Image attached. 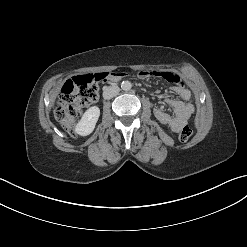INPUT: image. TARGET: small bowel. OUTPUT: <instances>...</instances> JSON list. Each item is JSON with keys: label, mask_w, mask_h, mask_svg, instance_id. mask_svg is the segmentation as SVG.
<instances>
[{"label": "small bowel", "mask_w": 247, "mask_h": 247, "mask_svg": "<svg viewBox=\"0 0 247 247\" xmlns=\"http://www.w3.org/2000/svg\"><path fill=\"white\" fill-rule=\"evenodd\" d=\"M141 78L159 77L173 84V91L181 97V100L167 99V103L173 107L174 116H171L160 108L154 109V115L158 121L168 125L172 131L179 132L188 122L193 111L194 104L191 100V92L181 77L170 71H141ZM124 77L122 73H112L107 81H117Z\"/></svg>", "instance_id": "obj_1"}]
</instances>
